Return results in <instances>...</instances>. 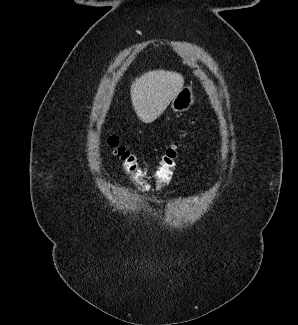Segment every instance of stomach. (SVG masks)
Masks as SVG:
<instances>
[{"label":"stomach","mask_w":298,"mask_h":325,"mask_svg":"<svg viewBox=\"0 0 298 325\" xmlns=\"http://www.w3.org/2000/svg\"><path fill=\"white\" fill-rule=\"evenodd\" d=\"M194 100L195 94L193 86L185 84V86L181 88L180 92L176 94L175 98H172L170 106L173 112H184V110H188V108L192 106Z\"/></svg>","instance_id":"stomach-1"}]
</instances>
